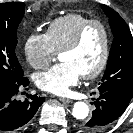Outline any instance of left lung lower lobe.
Wrapping results in <instances>:
<instances>
[{"label":"left lung lower lobe","instance_id":"1","mask_svg":"<svg viewBox=\"0 0 133 133\" xmlns=\"http://www.w3.org/2000/svg\"><path fill=\"white\" fill-rule=\"evenodd\" d=\"M93 100L96 109L92 118L81 126L85 133H101L108 128L123 114L131 99L112 91H99V97Z\"/></svg>","mask_w":133,"mask_h":133}]
</instances>
